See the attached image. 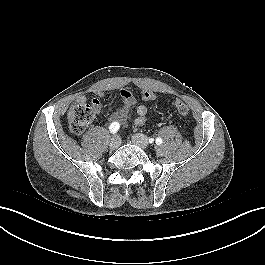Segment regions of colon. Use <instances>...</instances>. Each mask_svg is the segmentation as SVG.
<instances>
[{
	"mask_svg": "<svg viewBox=\"0 0 265 265\" xmlns=\"http://www.w3.org/2000/svg\"><path fill=\"white\" fill-rule=\"evenodd\" d=\"M140 97L143 101H152L156 98V95L153 91L144 89L141 91ZM174 106L182 117H188L189 107L185 102L176 100L174 102ZM98 109L99 106L95 100L73 106L68 112V124L70 131L74 134H81L84 132L87 126L94 119Z\"/></svg>",
	"mask_w": 265,
	"mask_h": 265,
	"instance_id": "5ec220e1",
	"label": "colon"
}]
</instances>
